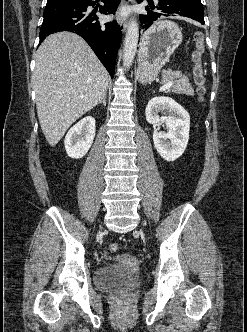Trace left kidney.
<instances>
[{
    "label": "left kidney",
    "mask_w": 247,
    "mask_h": 332,
    "mask_svg": "<svg viewBox=\"0 0 247 332\" xmlns=\"http://www.w3.org/2000/svg\"><path fill=\"white\" fill-rule=\"evenodd\" d=\"M161 111L170 115L160 117ZM146 120L153 125V142L157 152L166 161H175L185 151L189 140L190 116L189 113L172 98L154 97L145 110ZM165 122L168 132H160V125Z\"/></svg>",
    "instance_id": "left-kidney-1"
}]
</instances>
